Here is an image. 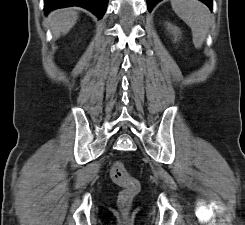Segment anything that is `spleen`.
<instances>
[{"label": "spleen", "instance_id": "obj_1", "mask_svg": "<svg viewBox=\"0 0 245 225\" xmlns=\"http://www.w3.org/2000/svg\"><path fill=\"white\" fill-rule=\"evenodd\" d=\"M174 12L191 28L193 43L201 48L212 24L209 9L198 0H171Z\"/></svg>", "mask_w": 245, "mask_h": 225}]
</instances>
